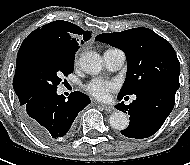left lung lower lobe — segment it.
Instances as JSON below:
<instances>
[{"label":"left lung lower lobe","instance_id":"obj_1","mask_svg":"<svg viewBox=\"0 0 190 165\" xmlns=\"http://www.w3.org/2000/svg\"><path fill=\"white\" fill-rule=\"evenodd\" d=\"M176 91L166 86H153L135 93L137 98L129 105L123 102L116 105L118 110L130 115L129 126L121 133L135 139L156 133L174 107Z\"/></svg>","mask_w":190,"mask_h":165}]
</instances>
